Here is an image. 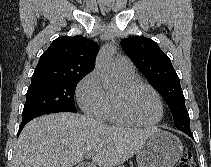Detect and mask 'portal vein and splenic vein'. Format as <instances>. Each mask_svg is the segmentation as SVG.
<instances>
[{
  "label": "portal vein and splenic vein",
  "instance_id": "18ae733b",
  "mask_svg": "<svg viewBox=\"0 0 211 167\" xmlns=\"http://www.w3.org/2000/svg\"><path fill=\"white\" fill-rule=\"evenodd\" d=\"M94 156V153L88 152L86 153V158H92Z\"/></svg>",
  "mask_w": 211,
  "mask_h": 167
}]
</instances>
